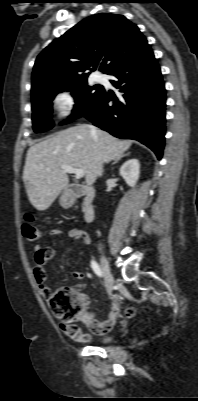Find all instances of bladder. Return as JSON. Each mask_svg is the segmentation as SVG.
Returning a JSON list of instances; mask_svg holds the SVG:
<instances>
[{
	"instance_id": "1",
	"label": "bladder",
	"mask_w": 198,
	"mask_h": 401,
	"mask_svg": "<svg viewBox=\"0 0 198 401\" xmlns=\"http://www.w3.org/2000/svg\"><path fill=\"white\" fill-rule=\"evenodd\" d=\"M111 341H112L111 336H109V335H107V334H103V335H100V336H99V343H100V344L105 345V344L110 343Z\"/></svg>"
}]
</instances>
